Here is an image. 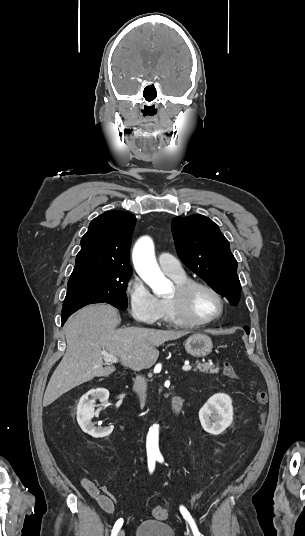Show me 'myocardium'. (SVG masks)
<instances>
[{"instance_id": "f54148a6", "label": "myocardium", "mask_w": 305, "mask_h": 536, "mask_svg": "<svg viewBox=\"0 0 305 536\" xmlns=\"http://www.w3.org/2000/svg\"><path fill=\"white\" fill-rule=\"evenodd\" d=\"M199 288H204L211 291L221 301V310L219 314L205 321L191 320L187 311V303L190 296ZM167 301L181 325L190 328H203L213 325L225 315L228 307L226 297L216 287L209 283L197 280H189L184 283L176 284L174 293L167 298Z\"/></svg>"}]
</instances>
